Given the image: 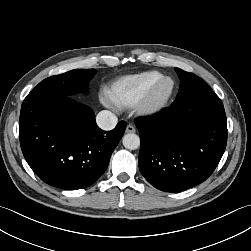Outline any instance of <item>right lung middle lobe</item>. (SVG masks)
Here are the masks:
<instances>
[{"mask_svg": "<svg viewBox=\"0 0 251 251\" xmlns=\"http://www.w3.org/2000/svg\"><path fill=\"white\" fill-rule=\"evenodd\" d=\"M96 72L95 69H75L60 75L51 76L40 82L32 92L72 95L86 90L88 83Z\"/></svg>", "mask_w": 251, "mask_h": 251, "instance_id": "obj_1", "label": "right lung middle lobe"}]
</instances>
